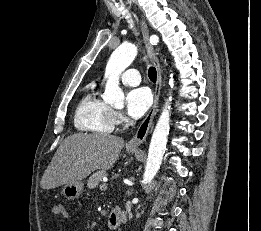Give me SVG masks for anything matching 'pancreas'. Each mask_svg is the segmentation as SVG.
I'll return each mask as SVG.
<instances>
[{"mask_svg":"<svg viewBox=\"0 0 261 231\" xmlns=\"http://www.w3.org/2000/svg\"><path fill=\"white\" fill-rule=\"evenodd\" d=\"M107 176L106 170H99L95 173H93L89 179L87 186L90 189L96 188L98 184L102 181L103 177Z\"/></svg>","mask_w":261,"mask_h":231,"instance_id":"1","label":"pancreas"}]
</instances>
